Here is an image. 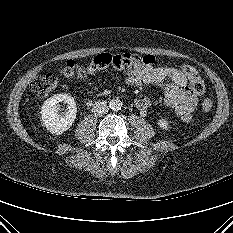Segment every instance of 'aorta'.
<instances>
[{
  "label": "aorta",
  "instance_id": "aorta-1",
  "mask_svg": "<svg viewBox=\"0 0 233 233\" xmlns=\"http://www.w3.org/2000/svg\"><path fill=\"white\" fill-rule=\"evenodd\" d=\"M109 107L114 111L120 110L122 107V102L119 99H113L110 101Z\"/></svg>",
  "mask_w": 233,
  "mask_h": 233
}]
</instances>
